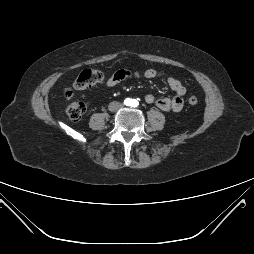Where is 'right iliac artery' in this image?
I'll return each instance as SVG.
<instances>
[{
  "label": "right iliac artery",
  "mask_w": 254,
  "mask_h": 254,
  "mask_svg": "<svg viewBox=\"0 0 254 254\" xmlns=\"http://www.w3.org/2000/svg\"><path fill=\"white\" fill-rule=\"evenodd\" d=\"M124 104H125L126 106H130V105L132 104V100L129 99V98H127V99L124 101Z\"/></svg>",
  "instance_id": "obj_1"
}]
</instances>
